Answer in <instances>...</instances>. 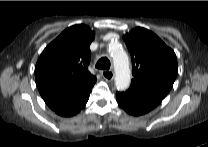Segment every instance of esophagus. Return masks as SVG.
<instances>
[{
  "instance_id": "obj_1",
  "label": "esophagus",
  "mask_w": 208,
  "mask_h": 147,
  "mask_svg": "<svg viewBox=\"0 0 208 147\" xmlns=\"http://www.w3.org/2000/svg\"><path fill=\"white\" fill-rule=\"evenodd\" d=\"M101 75L107 81H112L114 79V72L112 70H104L101 72Z\"/></svg>"
}]
</instances>
